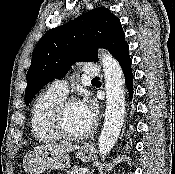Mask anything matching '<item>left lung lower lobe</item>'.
I'll return each mask as SVG.
<instances>
[{
  "label": "left lung lower lobe",
  "mask_w": 175,
  "mask_h": 174,
  "mask_svg": "<svg viewBox=\"0 0 175 174\" xmlns=\"http://www.w3.org/2000/svg\"><path fill=\"white\" fill-rule=\"evenodd\" d=\"M121 65V68L123 70L125 81L127 84V89L129 90L130 94V100L133 97V73L131 69V58L129 56V46L126 45L122 51L118 54L116 58Z\"/></svg>",
  "instance_id": "1"
}]
</instances>
